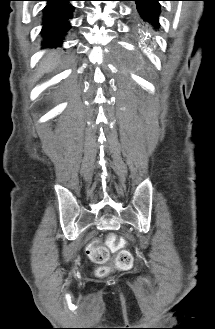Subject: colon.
<instances>
[{
    "instance_id": "1",
    "label": "colon",
    "mask_w": 215,
    "mask_h": 329,
    "mask_svg": "<svg viewBox=\"0 0 215 329\" xmlns=\"http://www.w3.org/2000/svg\"><path fill=\"white\" fill-rule=\"evenodd\" d=\"M110 251H118V255L115 264L119 268H128L132 262L133 257L131 253L125 249V241L118 239L114 236H110L105 244L91 243L87 248V254L91 260L98 265H105L109 261ZM106 268L100 269V273L104 274Z\"/></svg>"
}]
</instances>
